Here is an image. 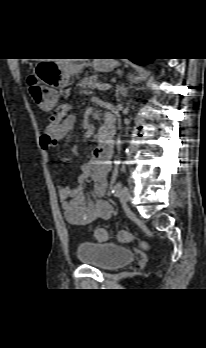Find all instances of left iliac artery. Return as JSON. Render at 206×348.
I'll return each mask as SVG.
<instances>
[{"mask_svg": "<svg viewBox=\"0 0 206 348\" xmlns=\"http://www.w3.org/2000/svg\"><path fill=\"white\" fill-rule=\"evenodd\" d=\"M122 188V183L121 181H119L118 183H116L112 189V194L116 197L118 196V194L120 193Z\"/></svg>", "mask_w": 206, "mask_h": 348, "instance_id": "1", "label": "left iliac artery"}]
</instances>
